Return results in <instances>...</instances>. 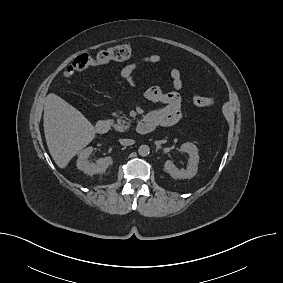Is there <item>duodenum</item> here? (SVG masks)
Segmentation results:
<instances>
[{
  "mask_svg": "<svg viewBox=\"0 0 283 283\" xmlns=\"http://www.w3.org/2000/svg\"><path fill=\"white\" fill-rule=\"evenodd\" d=\"M155 128L154 123L148 118L142 119L136 126V131L139 134H146ZM110 129V122L108 120H99L96 123V131L99 134H106Z\"/></svg>",
  "mask_w": 283,
  "mask_h": 283,
  "instance_id": "410a0bca",
  "label": "duodenum"
}]
</instances>
